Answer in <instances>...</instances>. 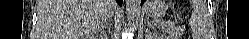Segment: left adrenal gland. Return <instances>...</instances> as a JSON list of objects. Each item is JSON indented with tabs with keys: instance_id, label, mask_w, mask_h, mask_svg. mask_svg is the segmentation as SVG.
Returning a JSON list of instances; mask_svg holds the SVG:
<instances>
[{
	"instance_id": "a2214340",
	"label": "left adrenal gland",
	"mask_w": 249,
	"mask_h": 39,
	"mask_svg": "<svg viewBox=\"0 0 249 39\" xmlns=\"http://www.w3.org/2000/svg\"><path fill=\"white\" fill-rule=\"evenodd\" d=\"M148 26H149V27H151V24H150V22H149V21H148Z\"/></svg>"
}]
</instances>
